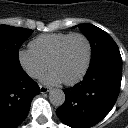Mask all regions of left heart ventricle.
Masks as SVG:
<instances>
[{
	"label": "left heart ventricle",
	"instance_id": "left-heart-ventricle-1",
	"mask_svg": "<svg viewBox=\"0 0 128 128\" xmlns=\"http://www.w3.org/2000/svg\"><path fill=\"white\" fill-rule=\"evenodd\" d=\"M87 57V46L80 37H74L66 44L62 56L51 68L62 81L75 78L83 69Z\"/></svg>",
	"mask_w": 128,
	"mask_h": 128
}]
</instances>
